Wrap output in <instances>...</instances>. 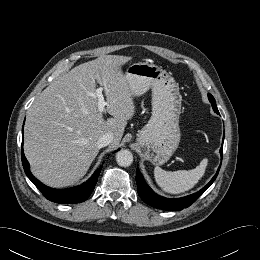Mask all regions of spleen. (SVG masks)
<instances>
[{
  "instance_id": "spleen-1",
  "label": "spleen",
  "mask_w": 260,
  "mask_h": 260,
  "mask_svg": "<svg viewBox=\"0 0 260 260\" xmlns=\"http://www.w3.org/2000/svg\"><path fill=\"white\" fill-rule=\"evenodd\" d=\"M208 160L203 159L200 164L192 170L165 171L155 167L154 176L157 184L171 194H179L193 188L203 177Z\"/></svg>"
}]
</instances>
